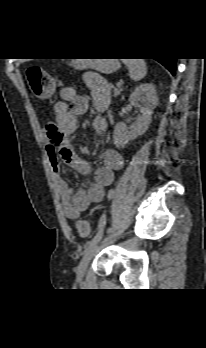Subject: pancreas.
Instances as JSON below:
<instances>
[{"instance_id":"cf45deb5","label":"pancreas","mask_w":206,"mask_h":348,"mask_svg":"<svg viewBox=\"0 0 206 348\" xmlns=\"http://www.w3.org/2000/svg\"><path fill=\"white\" fill-rule=\"evenodd\" d=\"M113 90H114V97H117L118 95L121 94V92L123 91V88L120 86V87L113 88Z\"/></svg>"}]
</instances>
